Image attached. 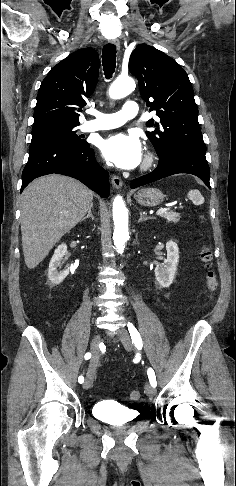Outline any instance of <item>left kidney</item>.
<instances>
[{
  "label": "left kidney",
  "mask_w": 236,
  "mask_h": 486,
  "mask_svg": "<svg viewBox=\"0 0 236 486\" xmlns=\"http://www.w3.org/2000/svg\"><path fill=\"white\" fill-rule=\"evenodd\" d=\"M166 251L167 259L162 265L155 268L156 280L162 287H169L173 283L179 262V249L175 242L168 241Z\"/></svg>",
  "instance_id": "1"
}]
</instances>
